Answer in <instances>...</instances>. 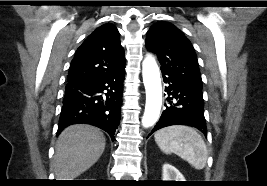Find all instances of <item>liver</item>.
<instances>
[{
  "mask_svg": "<svg viewBox=\"0 0 267 186\" xmlns=\"http://www.w3.org/2000/svg\"><path fill=\"white\" fill-rule=\"evenodd\" d=\"M104 134L84 124L64 129L55 146L53 169L57 180H73L89 169L105 149Z\"/></svg>",
  "mask_w": 267,
  "mask_h": 186,
  "instance_id": "obj_1",
  "label": "liver"
}]
</instances>
